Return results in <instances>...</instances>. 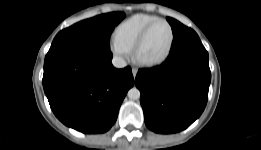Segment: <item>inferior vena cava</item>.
I'll list each match as a JSON object with an SVG mask.
<instances>
[{
	"instance_id": "602c4592",
	"label": "inferior vena cava",
	"mask_w": 261,
	"mask_h": 150,
	"mask_svg": "<svg viewBox=\"0 0 261 150\" xmlns=\"http://www.w3.org/2000/svg\"><path fill=\"white\" fill-rule=\"evenodd\" d=\"M112 64L116 68H124L127 65L126 61L122 57L118 56L113 57Z\"/></svg>"
}]
</instances>
